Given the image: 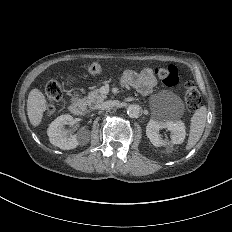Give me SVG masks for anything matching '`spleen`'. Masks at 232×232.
Instances as JSON below:
<instances>
[{"mask_svg":"<svg viewBox=\"0 0 232 232\" xmlns=\"http://www.w3.org/2000/svg\"><path fill=\"white\" fill-rule=\"evenodd\" d=\"M206 123V108L201 107L195 112L191 120L190 135L187 148L193 147L200 139Z\"/></svg>","mask_w":232,"mask_h":232,"instance_id":"obj_1","label":"spleen"}]
</instances>
